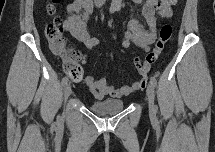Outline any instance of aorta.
Returning a JSON list of instances; mask_svg holds the SVG:
<instances>
[{
  "label": "aorta",
  "instance_id": "762f6f07",
  "mask_svg": "<svg viewBox=\"0 0 215 152\" xmlns=\"http://www.w3.org/2000/svg\"><path fill=\"white\" fill-rule=\"evenodd\" d=\"M121 7V0H112L111 8L119 9Z\"/></svg>",
  "mask_w": 215,
  "mask_h": 152
}]
</instances>
